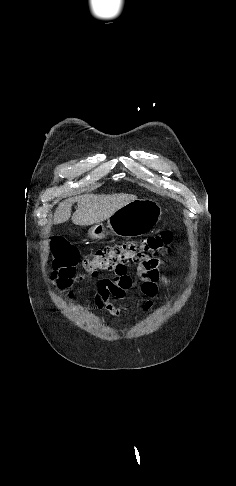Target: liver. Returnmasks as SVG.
<instances>
[{
  "instance_id": "obj_1",
  "label": "liver",
  "mask_w": 236,
  "mask_h": 486,
  "mask_svg": "<svg viewBox=\"0 0 236 486\" xmlns=\"http://www.w3.org/2000/svg\"><path fill=\"white\" fill-rule=\"evenodd\" d=\"M131 194L119 193L112 195H81L75 199L62 201L54 213L53 223L60 224L71 217V207L77 201V210L72 215V222L79 226H88L100 223L111 217L118 209L136 200Z\"/></svg>"
}]
</instances>
